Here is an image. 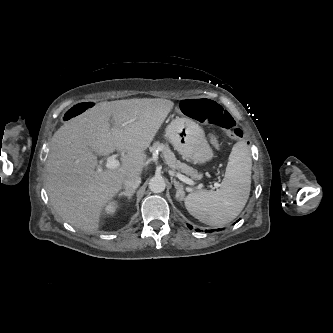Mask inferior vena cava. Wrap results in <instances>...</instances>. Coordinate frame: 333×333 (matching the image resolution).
Instances as JSON below:
<instances>
[{
    "label": "inferior vena cava",
    "instance_id": "602c4592",
    "mask_svg": "<svg viewBox=\"0 0 333 333\" xmlns=\"http://www.w3.org/2000/svg\"><path fill=\"white\" fill-rule=\"evenodd\" d=\"M141 183V178L137 174L128 175L124 181L123 186L127 191H134Z\"/></svg>",
    "mask_w": 333,
    "mask_h": 333
}]
</instances>
